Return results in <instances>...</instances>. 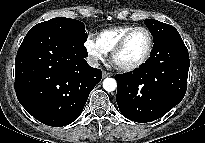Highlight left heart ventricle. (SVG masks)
Returning <instances> with one entry per match:
<instances>
[{"label":"left heart ventricle","instance_id":"b2bd125f","mask_svg":"<svg viewBox=\"0 0 205 143\" xmlns=\"http://www.w3.org/2000/svg\"><path fill=\"white\" fill-rule=\"evenodd\" d=\"M148 42V35L145 31H135L129 37L124 49L116 56V64L120 66H128L140 61L146 53Z\"/></svg>","mask_w":205,"mask_h":143}]
</instances>
